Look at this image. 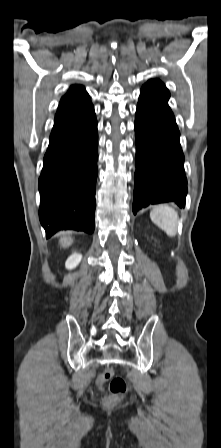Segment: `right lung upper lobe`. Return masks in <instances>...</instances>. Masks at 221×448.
<instances>
[{
  "mask_svg": "<svg viewBox=\"0 0 221 448\" xmlns=\"http://www.w3.org/2000/svg\"><path fill=\"white\" fill-rule=\"evenodd\" d=\"M87 92L85 91V88L80 85H73L71 86L70 90L62 97L59 107H62L72 101H75L83 96H85Z\"/></svg>",
  "mask_w": 221,
  "mask_h": 448,
  "instance_id": "right-lung-upper-lobe-1",
  "label": "right lung upper lobe"
}]
</instances>
